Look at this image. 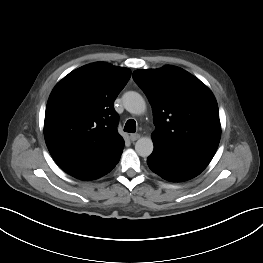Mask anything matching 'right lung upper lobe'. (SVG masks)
<instances>
[{
    "label": "right lung upper lobe",
    "instance_id": "1",
    "mask_svg": "<svg viewBox=\"0 0 263 263\" xmlns=\"http://www.w3.org/2000/svg\"><path fill=\"white\" fill-rule=\"evenodd\" d=\"M130 76L127 68L96 62L72 71L54 87L44 136L51 156L66 173L100 167L123 150L114 101Z\"/></svg>",
    "mask_w": 263,
    "mask_h": 263
}]
</instances>
